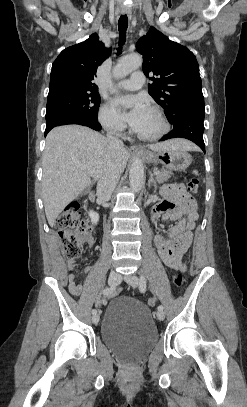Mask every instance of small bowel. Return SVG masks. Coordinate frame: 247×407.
Masks as SVG:
<instances>
[{"instance_id": "obj_1", "label": "small bowel", "mask_w": 247, "mask_h": 407, "mask_svg": "<svg viewBox=\"0 0 247 407\" xmlns=\"http://www.w3.org/2000/svg\"><path fill=\"white\" fill-rule=\"evenodd\" d=\"M163 200L152 209V218L161 217L163 221L175 222L166 233L158 234L154 238V245L164 264L173 270L185 271L186 261L184 256L192 244L193 230L198 219V209L195 200L189 196L184 187L179 184L166 185L162 189ZM85 243L93 246V239L88 237ZM77 266L74 260L67 262L69 271ZM92 266L84 269L90 272ZM68 287L73 295L81 294L83 286L75 282V274L68 275ZM97 304H102L98 299Z\"/></svg>"}]
</instances>
